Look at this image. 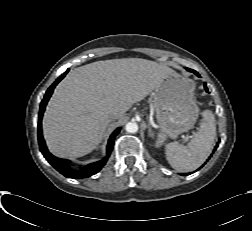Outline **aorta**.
I'll list each match as a JSON object with an SVG mask.
<instances>
[{
  "mask_svg": "<svg viewBox=\"0 0 252 231\" xmlns=\"http://www.w3.org/2000/svg\"><path fill=\"white\" fill-rule=\"evenodd\" d=\"M125 130L128 133H135L138 131V125L136 122H128L125 126Z\"/></svg>",
  "mask_w": 252,
  "mask_h": 231,
  "instance_id": "aorta-1",
  "label": "aorta"
}]
</instances>
